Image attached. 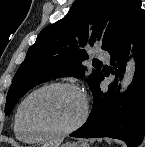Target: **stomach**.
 Returning a JSON list of instances; mask_svg holds the SVG:
<instances>
[{
    "instance_id": "0dacf381",
    "label": "stomach",
    "mask_w": 145,
    "mask_h": 147,
    "mask_svg": "<svg viewBox=\"0 0 145 147\" xmlns=\"http://www.w3.org/2000/svg\"><path fill=\"white\" fill-rule=\"evenodd\" d=\"M62 147H86V144L82 141L76 142V143H65L62 145Z\"/></svg>"
}]
</instances>
